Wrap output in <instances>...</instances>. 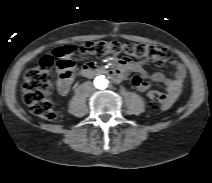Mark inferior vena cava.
Returning a JSON list of instances; mask_svg holds the SVG:
<instances>
[{
  "label": "inferior vena cava",
  "mask_w": 212,
  "mask_h": 183,
  "mask_svg": "<svg viewBox=\"0 0 212 183\" xmlns=\"http://www.w3.org/2000/svg\"><path fill=\"white\" fill-rule=\"evenodd\" d=\"M84 88L88 93H93L95 91V87L93 86L91 82H86L84 84Z\"/></svg>",
  "instance_id": "obj_1"
}]
</instances>
